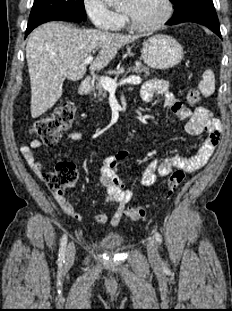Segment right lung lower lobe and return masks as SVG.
<instances>
[{
    "label": "right lung lower lobe",
    "instance_id": "right-lung-lower-lobe-1",
    "mask_svg": "<svg viewBox=\"0 0 232 311\" xmlns=\"http://www.w3.org/2000/svg\"><path fill=\"white\" fill-rule=\"evenodd\" d=\"M55 20H66V21H74V22L85 21L84 19L78 18L68 13L44 14V15L29 19L28 26L26 29V36L38 25L48 22V21H55Z\"/></svg>",
    "mask_w": 232,
    "mask_h": 311
}]
</instances>
